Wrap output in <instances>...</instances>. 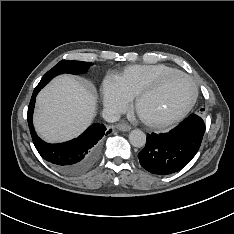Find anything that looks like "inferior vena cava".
<instances>
[{
	"label": "inferior vena cava",
	"instance_id": "obj_1",
	"mask_svg": "<svg viewBox=\"0 0 234 234\" xmlns=\"http://www.w3.org/2000/svg\"><path fill=\"white\" fill-rule=\"evenodd\" d=\"M102 116L107 122L111 123L116 122L120 119V113L112 108H104Z\"/></svg>",
	"mask_w": 234,
	"mask_h": 234
}]
</instances>
